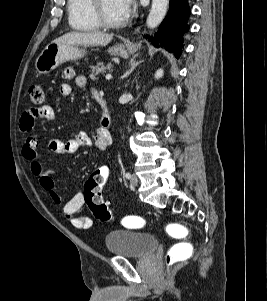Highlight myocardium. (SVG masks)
<instances>
[{
  "label": "myocardium",
  "mask_w": 267,
  "mask_h": 301,
  "mask_svg": "<svg viewBox=\"0 0 267 301\" xmlns=\"http://www.w3.org/2000/svg\"><path fill=\"white\" fill-rule=\"evenodd\" d=\"M92 8H93L94 17L97 23L100 25V27L106 29H116V28L123 27L128 22L127 17H124L122 20L116 22L109 21L103 14L102 0H93Z\"/></svg>",
  "instance_id": "1"
}]
</instances>
